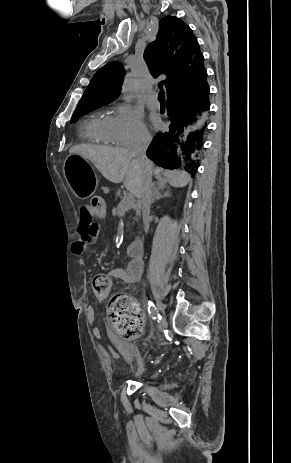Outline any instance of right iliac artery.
<instances>
[{
  "label": "right iliac artery",
  "instance_id": "82829eb1",
  "mask_svg": "<svg viewBox=\"0 0 291 463\" xmlns=\"http://www.w3.org/2000/svg\"><path fill=\"white\" fill-rule=\"evenodd\" d=\"M148 312L150 316L152 317V319H156L159 316L157 308L151 301H148Z\"/></svg>",
  "mask_w": 291,
  "mask_h": 463
}]
</instances>
